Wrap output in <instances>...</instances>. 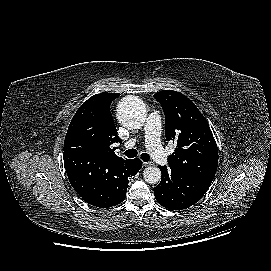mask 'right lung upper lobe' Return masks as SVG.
<instances>
[{
  "instance_id": "cb5924a9",
  "label": "right lung upper lobe",
  "mask_w": 271,
  "mask_h": 271,
  "mask_svg": "<svg viewBox=\"0 0 271 271\" xmlns=\"http://www.w3.org/2000/svg\"><path fill=\"white\" fill-rule=\"evenodd\" d=\"M119 95L96 94L81 105L68 127L64 152H83L106 160L125 161L111 146L115 142L121 143L109 111L111 102Z\"/></svg>"
}]
</instances>
